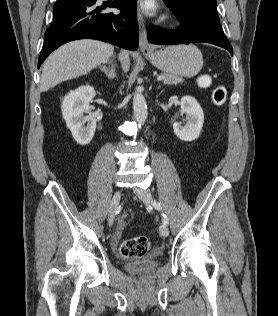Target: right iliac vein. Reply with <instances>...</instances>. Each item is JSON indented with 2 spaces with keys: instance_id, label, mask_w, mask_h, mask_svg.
<instances>
[{
  "instance_id": "right-iliac-vein-1",
  "label": "right iliac vein",
  "mask_w": 278,
  "mask_h": 316,
  "mask_svg": "<svg viewBox=\"0 0 278 316\" xmlns=\"http://www.w3.org/2000/svg\"><path fill=\"white\" fill-rule=\"evenodd\" d=\"M120 198H121V192L119 190H117L113 197L112 200L110 202V206H109V212H108V224L109 226H111L114 222L115 219V215L119 206V202H120Z\"/></svg>"
}]
</instances>
